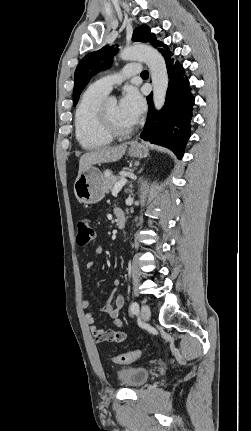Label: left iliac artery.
I'll use <instances>...</instances> for the list:
<instances>
[{"label": "left iliac artery", "mask_w": 251, "mask_h": 431, "mask_svg": "<svg viewBox=\"0 0 251 431\" xmlns=\"http://www.w3.org/2000/svg\"><path fill=\"white\" fill-rule=\"evenodd\" d=\"M138 311H139V304L137 302H133L130 305V313L131 314H136V313H138Z\"/></svg>", "instance_id": "44dca946"}]
</instances>
